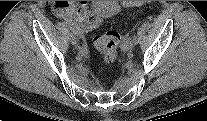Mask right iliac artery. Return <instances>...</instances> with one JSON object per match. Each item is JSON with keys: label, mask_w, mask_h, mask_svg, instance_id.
I'll list each match as a JSON object with an SVG mask.
<instances>
[{"label": "right iliac artery", "mask_w": 207, "mask_h": 121, "mask_svg": "<svg viewBox=\"0 0 207 121\" xmlns=\"http://www.w3.org/2000/svg\"><path fill=\"white\" fill-rule=\"evenodd\" d=\"M66 24L69 26V28L73 34H75L77 36H81L80 32L78 31V28L74 24H71L68 22H66ZM81 49H86V46L84 44H82Z\"/></svg>", "instance_id": "1"}]
</instances>
